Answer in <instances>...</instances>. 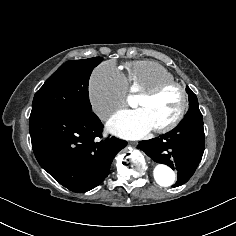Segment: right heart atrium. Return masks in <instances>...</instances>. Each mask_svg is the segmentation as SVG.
<instances>
[{
    "instance_id": "obj_1",
    "label": "right heart atrium",
    "mask_w": 236,
    "mask_h": 236,
    "mask_svg": "<svg viewBox=\"0 0 236 236\" xmlns=\"http://www.w3.org/2000/svg\"><path fill=\"white\" fill-rule=\"evenodd\" d=\"M88 92L92 111L104 121L125 104L127 92L125 78L113 64L102 63L90 76Z\"/></svg>"
}]
</instances>
